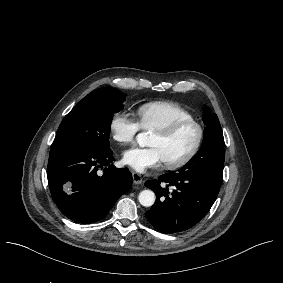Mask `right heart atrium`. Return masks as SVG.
Returning <instances> with one entry per match:
<instances>
[{"instance_id":"right-heart-atrium-1","label":"right heart atrium","mask_w":283,"mask_h":283,"mask_svg":"<svg viewBox=\"0 0 283 283\" xmlns=\"http://www.w3.org/2000/svg\"><path fill=\"white\" fill-rule=\"evenodd\" d=\"M108 129L113 142L127 145L134 141L136 134L141 129V125L126 113L117 111L111 116Z\"/></svg>"}]
</instances>
